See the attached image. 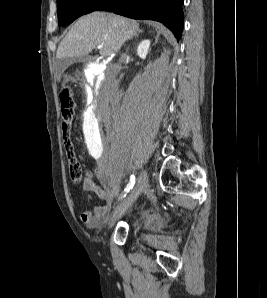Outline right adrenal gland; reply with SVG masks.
Wrapping results in <instances>:
<instances>
[{"label":"right adrenal gland","instance_id":"2a0ac1e0","mask_svg":"<svg viewBox=\"0 0 267 298\" xmlns=\"http://www.w3.org/2000/svg\"><path fill=\"white\" fill-rule=\"evenodd\" d=\"M140 33H142V30H138V33H136L134 37L138 36Z\"/></svg>","mask_w":267,"mask_h":298}]
</instances>
